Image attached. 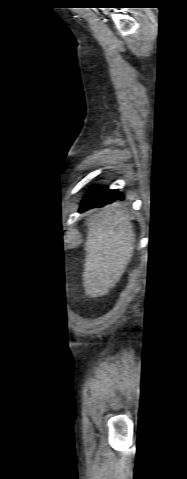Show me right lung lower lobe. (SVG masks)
Wrapping results in <instances>:
<instances>
[{
  "mask_svg": "<svg viewBox=\"0 0 187 479\" xmlns=\"http://www.w3.org/2000/svg\"><path fill=\"white\" fill-rule=\"evenodd\" d=\"M115 199H123V195L116 190H109L105 187L93 188L83 199L80 211H85L94 207H102L106 204H110Z\"/></svg>",
  "mask_w": 187,
  "mask_h": 479,
  "instance_id": "98d812e1",
  "label": "right lung lower lobe"
}]
</instances>
